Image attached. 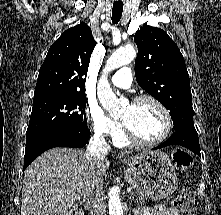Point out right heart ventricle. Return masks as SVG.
Segmentation results:
<instances>
[{"label": "right heart ventricle", "instance_id": "1", "mask_svg": "<svg viewBox=\"0 0 221 215\" xmlns=\"http://www.w3.org/2000/svg\"><path fill=\"white\" fill-rule=\"evenodd\" d=\"M114 142L117 146H125L128 144L127 139L122 132L114 138Z\"/></svg>", "mask_w": 221, "mask_h": 215}]
</instances>
